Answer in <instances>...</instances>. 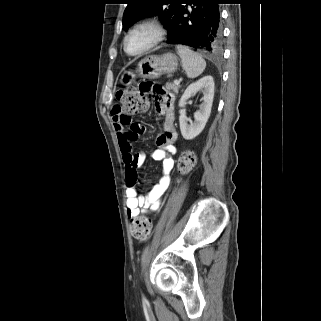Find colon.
<instances>
[{
	"mask_svg": "<svg viewBox=\"0 0 321 321\" xmlns=\"http://www.w3.org/2000/svg\"><path fill=\"white\" fill-rule=\"evenodd\" d=\"M150 83V82H144ZM155 96H148L147 90H137L136 87H131L117 93V99L120 105L117 106L120 112L124 115L146 111L150 101ZM195 155L191 151L184 152L178 162V170L180 173H188L195 165ZM139 182L137 172H133L128 180V185L135 187ZM131 233L138 240H147L152 233V220L149 217H136L131 221Z\"/></svg>",
	"mask_w": 321,
	"mask_h": 321,
	"instance_id": "colon-1",
	"label": "colon"
}]
</instances>
